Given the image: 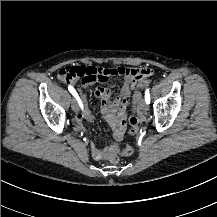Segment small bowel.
I'll return each mask as SVG.
<instances>
[{"label":"small bowel","instance_id":"1","mask_svg":"<svg viewBox=\"0 0 217 217\" xmlns=\"http://www.w3.org/2000/svg\"><path fill=\"white\" fill-rule=\"evenodd\" d=\"M111 73L106 72L104 74H101L98 77V82L101 85H106L110 81ZM148 77H142L138 78L133 75H125V80L123 82L122 88L119 93L118 99L114 101H108L110 97V88H97L94 91V97L100 101L102 104V111L106 116V120L111 126L113 130V135H114V142L120 143V141L123 139L125 130H126V125L129 117V100L131 96V90H132V84L135 81H140V80H147ZM64 81L63 79H61ZM76 81H68V84L74 85ZM83 86H87L89 82H83ZM94 119V113L92 111H87L85 114H78L75 117V122L78 125H82L84 121H92ZM112 142V143H114ZM110 143L107 147L105 148H100L97 146L96 143L90 142L89 147L91 151V155L93 159L95 160H104L107 158V156L111 153L109 150Z\"/></svg>","mask_w":217,"mask_h":217}]
</instances>
